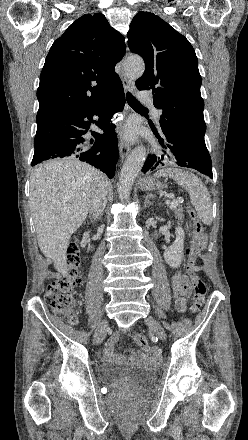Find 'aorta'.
<instances>
[{
  "mask_svg": "<svg viewBox=\"0 0 248 440\" xmlns=\"http://www.w3.org/2000/svg\"><path fill=\"white\" fill-rule=\"evenodd\" d=\"M145 70V64L141 57H128L124 63L125 74L136 80L140 78ZM146 159V151L142 146L136 147L126 159L118 182V195L122 202L127 201L130 197L133 183L141 171Z\"/></svg>",
  "mask_w": 248,
  "mask_h": 440,
  "instance_id": "obj_1",
  "label": "aorta"
}]
</instances>
